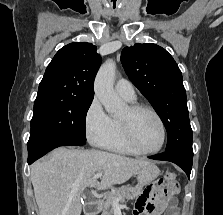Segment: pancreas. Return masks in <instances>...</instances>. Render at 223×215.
Returning <instances> with one entry per match:
<instances>
[{"mask_svg":"<svg viewBox=\"0 0 223 215\" xmlns=\"http://www.w3.org/2000/svg\"><path fill=\"white\" fill-rule=\"evenodd\" d=\"M133 191L134 187H131V185H121V187H116L115 191H112L108 199L102 203L106 206L103 207V210L105 211H102L101 215H113V199H115V197H121L120 201H125V199H133V197H136V194Z\"/></svg>","mask_w":223,"mask_h":215,"instance_id":"pancreas-1","label":"pancreas"}]
</instances>
